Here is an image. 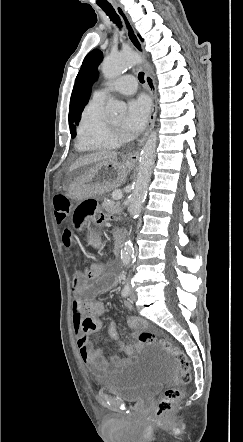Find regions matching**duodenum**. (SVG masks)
Returning <instances> with one entry per match:
<instances>
[{
  "instance_id": "410a0bca",
  "label": "duodenum",
  "mask_w": 243,
  "mask_h": 442,
  "mask_svg": "<svg viewBox=\"0 0 243 442\" xmlns=\"http://www.w3.org/2000/svg\"><path fill=\"white\" fill-rule=\"evenodd\" d=\"M121 239H122V232L117 231L116 232V245H115V251L117 254H119L121 251V248H120Z\"/></svg>"
}]
</instances>
